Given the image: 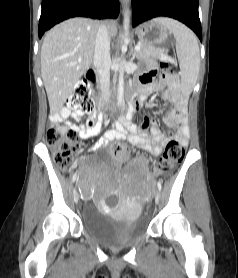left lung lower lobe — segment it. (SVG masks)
Wrapping results in <instances>:
<instances>
[{
    "instance_id": "0a47b994",
    "label": "left lung lower lobe",
    "mask_w": 238,
    "mask_h": 278,
    "mask_svg": "<svg viewBox=\"0 0 238 278\" xmlns=\"http://www.w3.org/2000/svg\"><path fill=\"white\" fill-rule=\"evenodd\" d=\"M132 26L158 16L177 19L190 27L202 41L198 0H132Z\"/></svg>"
}]
</instances>
